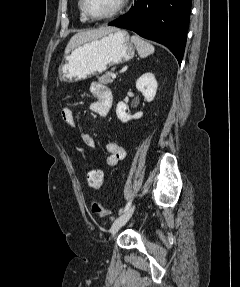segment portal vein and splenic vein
I'll return each instance as SVG.
<instances>
[{"label":"portal vein and splenic vein","mask_w":240,"mask_h":287,"mask_svg":"<svg viewBox=\"0 0 240 287\" xmlns=\"http://www.w3.org/2000/svg\"><path fill=\"white\" fill-rule=\"evenodd\" d=\"M112 77H113V78H115V77H116V75H115V74H112Z\"/></svg>","instance_id":"1"}]
</instances>
